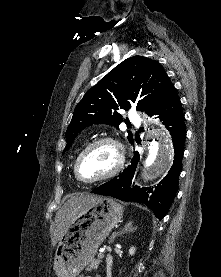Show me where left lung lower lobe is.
<instances>
[{
    "label": "left lung lower lobe",
    "mask_w": 221,
    "mask_h": 277,
    "mask_svg": "<svg viewBox=\"0 0 221 277\" xmlns=\"http://www.w3.org/2000/svg\"><path fill=\"white\" fill-rule=\"evenodd\" d=\"M153 114L159 115L158 118H160V121H163V124L172 136L175 155L173 165L166 177L156 187L140 188L134 186L132 179L140 159L138 152H135L131 164L122 174L100 185L91 192L99 195L112 196L123 201L144 203L161 220L167 214L177 192L182 157L184 154V141L186 138L184 115L175 88Z\"/></svg>",
    "instance_id": "0a47b994"
}]
</instances>
